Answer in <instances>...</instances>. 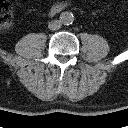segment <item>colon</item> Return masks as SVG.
<instances>
[{
    "label": "colon",
    "instance_id": "obj_1",
    "mask_svg": "<svg viewBox=\"0 0 128 128\" xmlns=\"http://www.w3.org/2000/svg\"><path fill=\"white\" fill-rule=\"evenodd\" d=\"M12 25V10L6 0H0V31H7Z\"/></svg>",
    "mask_w": 128,
    "mask_h": 128
}]
</instances>
